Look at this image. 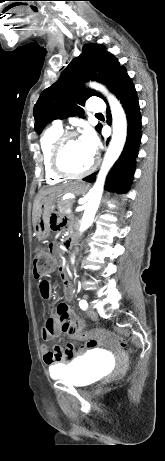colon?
Here are the masks:
<instances>
[{
    "label": "colon",
    "mask_w": 165,
    "mask_h": 461,
    "mask_svg": "<svg viewBox=\"0 0 165 461\" xmlns=\"http://www.w3.org/2000/svg\"><path fill=\"white\" fill-rule=\"evenodd\" d=\"M51 250V249H50ZM33 265H34V276L36 278H40L42 276H45L47 274H50L53 269H54V262L49 254V250L45 247H39L34 255L33 259ZM88 341H83L82 345L79 347V352L81 347H84L85 345L92 346L94 348V345L98 343L99 340H108L111 343L119 346L120 348H125L126 347V341L118 336L115 335L114 333L110 331H99L96 334H89L87 336ZM86 347V348H87ZM85 348V347H84ZM85 348V350H86ZM75 350V345L74 344H66V351L67 352H73Z\"/></svg>",
    "instance_id": "obj_1"
}]
</instances>
